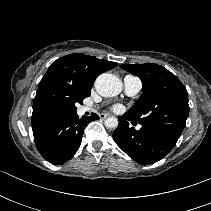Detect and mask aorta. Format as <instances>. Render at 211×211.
<instances>
[{"label": "aorta", "mask_w": 211, "mask_h": 211, "mask_svg": "<svg viewBox=\"0 0 211 211\" xmlns=\"http://www.w3.org/2000/svg\"><path fill=\"white\" fill-rule=\"evenodd\" d=\"M94 85L98 94L103 97H114L122 91L121 80L109 73L99 75ZM104 123L107 128H116L118 126V119L116 117H109Z\"/></svg>", "instance_id": "1"}]
</instances>
